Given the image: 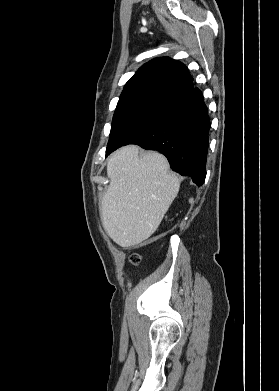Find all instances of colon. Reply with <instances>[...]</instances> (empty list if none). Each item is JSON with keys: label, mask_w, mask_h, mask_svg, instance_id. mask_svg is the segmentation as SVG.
<instances>
[{"label": "colon", "mask_w": 279, "mask_h": 391, "mask_svg": "<svg viewBox=\"0 0 279 391\" xmlns=\"http://www.w3.org/2000/svg\"><path fill=\"white\" fill-rule=\"evenodd\" d=\"M130 260H131V262H132L133 264L138 263L139 260H140L139 255L133 254V255L131 256Z\"/></svg>", "instance_id": "obj_1"}]
</instances>
